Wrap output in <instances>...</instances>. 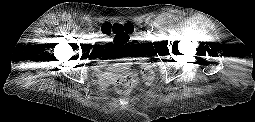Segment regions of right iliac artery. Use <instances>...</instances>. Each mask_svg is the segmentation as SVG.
Here are the masks:
<instances>
[{"label":"right iliac artery","mask_w":255,"mask_h":122,"mask_svg":"<svg viewBox=\"0 0 255 122\" xmlns=\"http://www.w3.org/2000/svg\"><path fill=\"white\" fill-rule=\"evenodd\" d=\"M87 30H88L89 33L93 32V29L91 27H88Z\"/></svg>","instance_id":"right-iliac-artery-1"}]
</instances>
